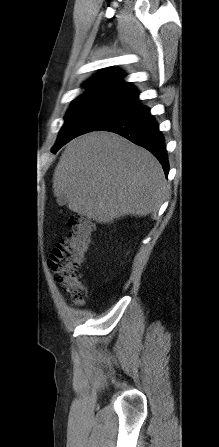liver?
<instances>
[{
    "label": "liver",
    "mask_w": 219,
    "mask_h": 447,
    "mask_svg": "<svg viewBox=\"0 0 219 447\" xmlns=\"http://www.w3.org/2000/svg\"><path fill=\"white\" fill-rule=\"evenodd\" d=\"M57 202L98 223L126 215L146 216L164 201L167 182L158 160L146 149L109 132L70 141L53 177Z\"/></svg>",
    "instance_id": "6515ba94"
}]
</instances>
